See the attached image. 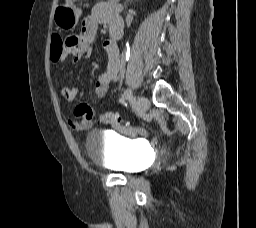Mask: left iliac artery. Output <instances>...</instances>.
<instances>
[{
    "label": "left iliac artery",
    "instance_id": "obj_1",
    "mask_svg": "<svg viewBox=\"0 0 256 228\" xmlns=\"http://www.w3.org/2000/svg\"><path fill=\"white\" fill-rule=\"evenodd\" d=\"M132 98H133L132 90H131L130 88H128V89H126V90L124 91V93L122 94L121 99H120V102H121V103H124V101H125L126 99H132Z\"/></svg>",
    "mask_w": 256,
    "mask_h": 228
}]
</instances>
